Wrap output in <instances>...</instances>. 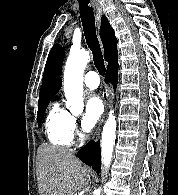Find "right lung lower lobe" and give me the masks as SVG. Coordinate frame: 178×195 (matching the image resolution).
Returning a JSON list of instances; mask_svg holds the SVG:
<instances>
[{"instance_id": "obj_1", "label": "right lung lower lobe", "mask_w": 178, "mask_h": 195, "mask_svg": "<svg viewBox=\"0 0 178 195\" xmlns=\"http://www.w3.org/2000/svg\"><path fill=\"white\" fill-rule=\"evenodd\" d=\"M107 73L105 81L111 82L114 85V91L116 90V85L118 82V63L107 67ZM78 157L85 164L92 166L94 170L100 172L101 169V150L100 141L94 142L90 141L86 146H84L79 152Z\"/></svg>"}]
</instances>
